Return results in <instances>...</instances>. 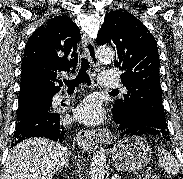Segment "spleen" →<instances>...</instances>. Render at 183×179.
I'll return each instance as SVG.
<instances>
[{"label": "spleen", "instance_id": "3e777b00", "mask_svg": "<svg viewBox=\"0 0 183 179\" xmlns=\"http://www.w3.org/2000/svg\"><path fill=\"white\" fill-rule=\"evenodd\" d=\"M158 162L159 165L167 172L169 178H172L173 175L179 173L180 168L178 160L163 148L159 149Z\"/></svg>", "mask_w": 183, "mask_h": 179}]
</instances>
